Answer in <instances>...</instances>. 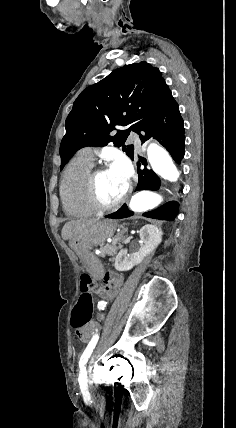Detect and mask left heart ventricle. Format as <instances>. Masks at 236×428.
Wrapping results in <instances>:
<instances>
[{"label": "left heart ventricle", "instance_id": "obj_1", "mask_svg": "<svg viewBox=\"0 0 236 428\" xmlns=\"http://www.w3.org/2000/svg\"><path fill=\"white\" fill-rule=\"evenodd\" d=\"M129 178L122 172L109 169L98 182V191L105 202H115L125 193Z\"/></svg>", "mask_w": 236, "mask_h": 428}]
</instances>
